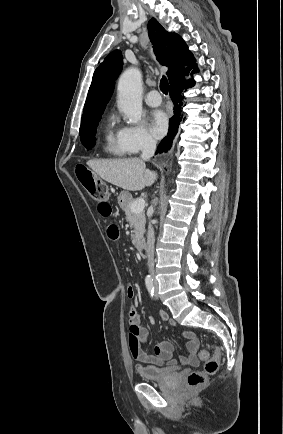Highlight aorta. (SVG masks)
Listing matches in <instances>:
<instances>
[{
    "label": "aorta",
    "instance_id": "obj_1",
    "mask_svg": "<svg viewBox=\"0 0 283 434\" xmlns=\"http://www.w3.org/2000/svg\"><path fill=\"white\" fill-rule=\"evenodd\" d=\"M117 105L127 118V123L136 124L142 116V76L137 68L127 69L118 81Z\"/></svg>",
    "mask_w": 283,
    "mask_h": 434
}]
</instances>
